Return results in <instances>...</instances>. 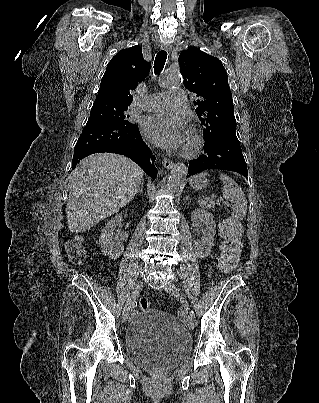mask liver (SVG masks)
Returning a JSON list of instances; mask_svg holds the SVG:
<instances>
[{"label": "liver", "mask_w": 319, "mask_h": 403, "mask_svg": "<svg viewBox=\"0 0 319 403\" xmlns=\"http://www.w3.org/2000/svg\"><path fill=\"white\" fill-rule=\"evenodd\" d=\"M142 179L143 170L124 156L100 153L84 158L69 182V230L84 232L117 213L135 196Z\"/></svg>", "instance_id": "1"}]
</instances>
